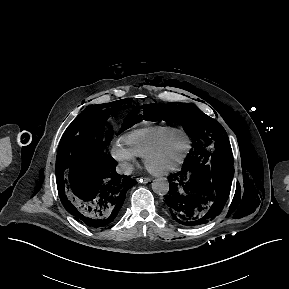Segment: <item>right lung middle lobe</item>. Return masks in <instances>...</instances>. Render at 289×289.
I'll list each match as a JSON object with an SVG mask.
<instances>
[{"mask_svg": "<svg viewBox=\"0 0 289 289\" xmlns=\"http://www.w3.org/2000/svg\"><path fill=\"white\" fill-rule=\"evenodd\" d=\"M131 102L132 99H122L111 103L93 105L78 115L64 132L59 144L56 157L57 183L65 180L74 165L82 159L104 153L103 145L114 136L113 133L108 132L111 118L122 103ZM138 110L136 107L131 111V115L126 117L118 134L141 120L137 116Z\"/></svg>", "mask_w": 289, "mask_h": 289, "instance_id": "dd1d6c3e", "label": "right lung middle lobe"}]
</instances>
